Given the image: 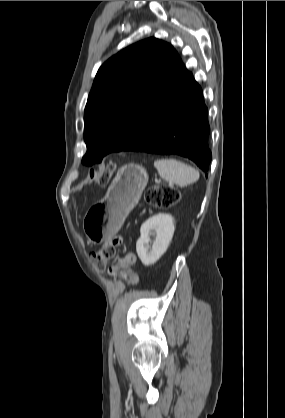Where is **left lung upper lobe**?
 I'll return each instance as SVG.
<instances>
[{"instance_id":"left-lung-upper-lobe-1","label":"left lung upper lobe","mask_w":285,"mask_h":418,"mask_svg":"<svg viewBox=\"0 0 285 418\" xmlns=\"http://www.w3.org/2000/svg\"><path fill=\"white\" fill-rule=\"evenodd\" d=\"M182 66L176 50L156 38L137 42L98 70L84 112L87 152L82 163H100L122 151L167 91Z\"/></svg>"}]
</instances>
